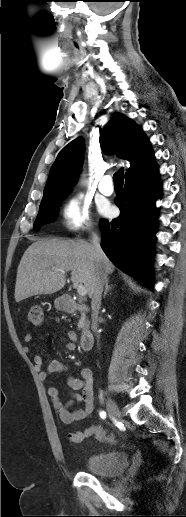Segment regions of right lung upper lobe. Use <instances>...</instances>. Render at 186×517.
<instances>
[{"label":"right lung upper lobe","mask_w":186,"mask_h":517,"mask_svg":"<svg viewBox=\"0 0 186 517\" xmlns=\"http://www.w3.org/2000/svg\"><path fill=\"white\" fill-rule=\"evenodd\" d=\"M100 145L105 153L131 162L125 174L129 177L153 163L154 154L149 140L134 121L122 113L113 114L102 130ZM84 152V141L78 137L66 145L53 163L44 189L43 199L67 193L79 175Z\"/></svg>","instance_id":"cb5924a9"}]
</instances>
